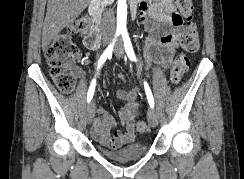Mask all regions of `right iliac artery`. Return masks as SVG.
Wrapping results in <instances>:
<instances>
[{
	"label": "right iliac artery",
	"instance_id": "82829eb1",
	"mask_svg": "<svg viewBox=\"0 0 244 179\" xmlns=\"http://www.w3.org/2000/svg\"><path fill=\"white\" fill-rule=\"evenodd\" d=\"M120 35L119 32L116 33L114 40L112 41V43L106 48V50L104 51V53L101 55L99 61H98V66L97 68L100 69V67L103 65V63L106 61L107 58L111 59L112 57V51H113V47L116 41V38ZM95 85H96V80L95 78L92 80L88 93H87V101L88 103L91 101L94 91H95Z\"/></svg>",
	"mask_w": 244,
	"mask_h": 179
}]
</instances>
